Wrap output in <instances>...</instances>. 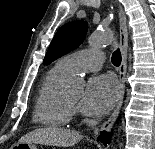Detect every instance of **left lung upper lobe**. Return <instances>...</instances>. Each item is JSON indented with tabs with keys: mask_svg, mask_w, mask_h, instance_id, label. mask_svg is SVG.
I'll return each mask as SVG.
<instances>
[{
	"mask_svg": "<svg viewBox=\"0 0 155 149\" xmlns=\"http://www.w3.org/2000/svg\"><path fill=\"white\" fill-rule=\"evenodd\" d=\"M87 31V23L83 21L69 22L63 25L55 34L46 56L44 65L76 49L83 42Z\"/></svg>",
	"mask_w": 155,
	"mask_h": 149,
	"instance_id": "obj_1",
	"label": "left lung upper lobe"
}]
</instances>
